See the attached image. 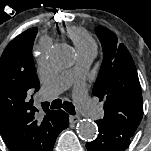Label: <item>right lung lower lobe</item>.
Instances as JSON below:
<instances>
[{
  "mask_svg": "<svg viewBox=\"0 0 151 151\" xmlns=\"http://www.w3.org/2000/svg\"><path fill=\"white\" fill-rule=\"evenodd\" d=\"M69 125V115L62 110H57L54 123V133L58 134Z\"/></svg>",
  "mask_w": 151,
  "mask_h": 151,
  "instance_id": "98d812e1",
  "label": "right lung lower lobe"
}]
</instances>
